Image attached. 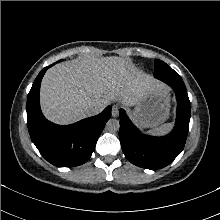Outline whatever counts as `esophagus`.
<instances>
[{"label": "esophagus", "instance_id": "34e87169", "mask_svg": "<svg viewBox=\"0 0 220 220\" xmlns=\"http://www.w3.org/2000/svg\"><path fill=\"white\" fill-rule=\"evenodd\" d=\"M118 115H119V107H118V105H114L112 107V116L117 117Z\"/></svg>", "mask_w": 220, "mask_h": 220}]
</instances>
